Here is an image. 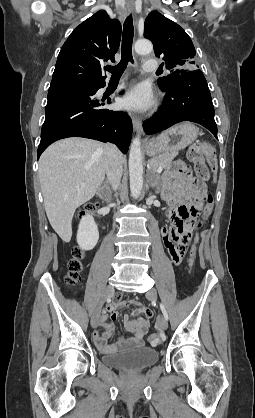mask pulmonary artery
Returning <instances> with one entry per match:
<instances>
[{
  "label": "pulmonary artery",
  "instance_id": "obj_1",
  "mask_svg": "<svg viewBox=\"0 0 255 418\" xmlns=\"http://www.w3.org/2000/svg\"><path fill=\"white\" fill-rule=\"evenodd\" d=\"M143 68L146 72H153L158 68V63L155 59H147Z\"/></svg>",
  "mask_w": 255,
  "mask_h": 418
}]
</instances>
